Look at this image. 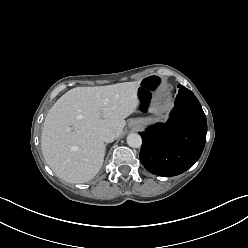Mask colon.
<instances>
[{
    "mask_svg": "<svg viewBox=\"0 0 248 248\" xmlns=\"http://www.w3.org/2000/svg\"><path fill=\"white\" fill-rule=\"evenodd\" d=\"M160 84V79L156 75H151L143 79L137 87V96L139 98L138 108L142 112H147L151 108L152 92Z\"/></svg>",
    "mask_w": 248,
    "mask_h": 248,
    "instance_id": "colon-1",
    "label": "colon"
}]
</instances>
